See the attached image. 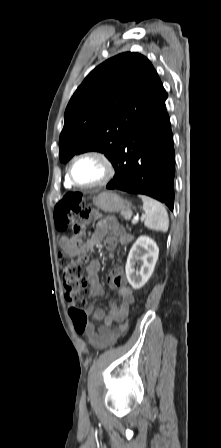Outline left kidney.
<instances>
[{"label": "left kidney", "mask_w": 221, "mask_h": 448, "mask_svg": "<svg viewBox=\"0 0 221 448\" xmlns=\"http://www.w3.org/2000/svg\"><path fill=\"white\" fill-rule=\"evenodd\" d=\"M159 248L148 236H140L130 249L126 262V277L133 289H140L151 277L158 260ZM141 262L140 269L136 263Z\"/></svg>", "instance_id": "5707ae66"}]
</instances>
